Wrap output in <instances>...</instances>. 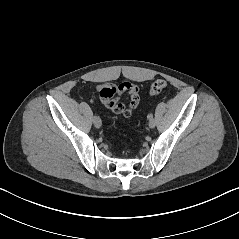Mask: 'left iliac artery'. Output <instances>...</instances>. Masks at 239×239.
Segmentation results:
<instances>
[{
    "mask_svg": "<svg viewBox=\"0 0 239 239\" xmlns=\"http://www.w3.org/2000/svg\"><path fill=\"white\" fill-rule=\"evenodd\" d=\"M147 118H148L149 120L153 119V114H152V113H149V114L147 115Z\"/></svg>",
    "mask_w": 239,
    "mask_h": 239,
    "instance_id": "1",
    "label": "left iliac artery"
}]
</instances>
